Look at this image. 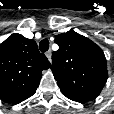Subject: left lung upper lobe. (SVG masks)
<instances>
[{"mask_svg":"<svg viewBox=\"0 0 114 114\" xmlns=\"http://www.w3.org/2000/svg\"><path fill=\"white\" fill-rule=\"evenodd\" d=\"M59 50L52 54V72L68 98L92 100L105 85L108 73L102 49L90 39L68 31L55 37Z\"/></svg>","mask_w":114,"mask_h":114,"instance_id":"left-lung-upper-lobe-1","label":"left lung upper lobe"}]
</instances>
